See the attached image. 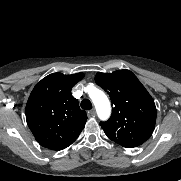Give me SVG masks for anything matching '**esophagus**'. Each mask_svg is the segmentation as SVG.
<instances>
[{"mask_svg": "<svg viewBox=\"0 0 181 181\" xmlns=\"http://www.w3.org/2000/svg\"><path fill=\"white\" fill-rule=\"evenodd\" d=\"M89 115L92 116V117H95L96 116V111L95 109H92L89 111Z\"/></svg>", "mask_w": 181, "mask_h": 181, "instance_id": "esophagus-1", "label": "esophagus"}]
</instances>
